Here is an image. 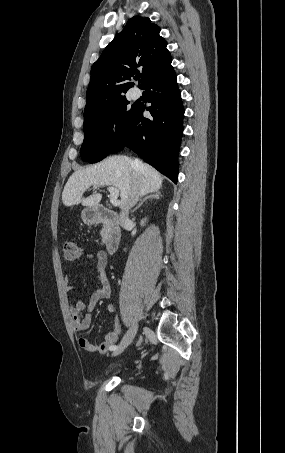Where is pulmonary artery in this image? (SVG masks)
Returning <instances> with one entry per match:
<instances>
[{"instance_id": "1", "label": "pulmonary artery", "mask_w": 285, "mask_h": 453, "mask_svg": "<svg viewBox=\"0 0 285 453\" xmlns=\"http://www.w3.org/2000/svg\"><path fill=\"white\" fill-rule=\"evenodd\" d=\"M140 96H141V91L139 89L136 88L132 91V97L134 99H138Z\"/></svg>"}]
</instances>
